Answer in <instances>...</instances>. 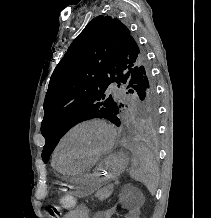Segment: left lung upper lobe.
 <instances>
[{
    "instance_id": "5c2ea615",
    "label": "left lung upper lobe",
    "mask_w": 211,
    "mask_h": 218,
    "mask_svg": "<svg viewBox=\"0 0 211 218\" xmlns=\"http://www.w3.org/2000/svg\"><path fill=\"white\" fill-rule=\"evenodd\" d=\"M111 83L122 89L133 88L129 93L136 91L140 99L136 113L144 125L154 130L158 106L147 55L124 24L100 15L72 42L51 75L41 124L46 140L42 152L45 163L75 124L103 117L120 125L125 104L105 94Z\"/></svg>"
}]
</instances>
